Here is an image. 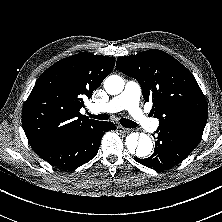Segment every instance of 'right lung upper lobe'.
Here are the masks:
<instances>
[{"mask_svg":"<svg viewBox=\"0 0 222 222\" xmlns=\"http://www.w3.org/2000/svg\"><path fill=\"white\" fill-rule=\"evenodd\" d=\"M114 65L113 57L81 52L49 67L38 78L22 110L30 145L72 136L95 122L79 112L83 97H91Z\"/></svg>","mask_w":222,"mask_h":222,"instance_id":"1","label":"right lung upper lobe"}]
</instances>
